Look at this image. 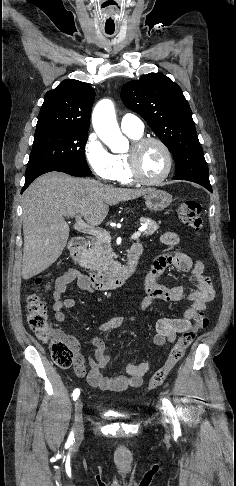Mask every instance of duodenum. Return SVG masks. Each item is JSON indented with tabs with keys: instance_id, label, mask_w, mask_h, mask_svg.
Here are the masks:
<instances>
[{
	"instance_id": "duodenum-1",
	"label": "duodenum",
	"mask_w": 236,
	"mask_h": 486,
	"mask_svg": "<svg viewBox=\"0 0 236 486\" xmlns=\"http://www.w3.org/2000/svg\"><path fill=\"white\" fill-rule=\"evenodd\" d=\"M87 247L84 237H74L69 243L70 255L76 266H81L83 253ZM141 246L134 244L128 249L126 264L113 273L89 272L84 275L86 282L95 290L106 291L122 286L134 273L138 259L141 255Z\"/></svg>"
}]
</instances>
